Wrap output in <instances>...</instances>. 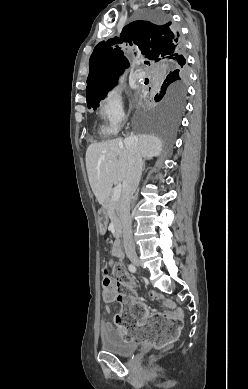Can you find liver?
Returning a JSON list of instances; mask_svg holds the SVG:
<instances>
[{
  "mask_svg": "<svg viewBox=\"0 0 248 389\" xmlns=\"http://www.w3.org/2000/svg\"><path fill=\"white\" fill-rule=\"evenodd\" d=\"M144 159L160 155L162 141L149 134L132 136ZM86 169L92 191L99 204L108 198L115 182L123 181L128 170V151L122 138L92 143L86 151Z\"/></svg>",
  "mask_w": 248,
  "mask_h": 389,
  "instance_id": "liver-1",
  "label": "liver"
}]
</instances>
